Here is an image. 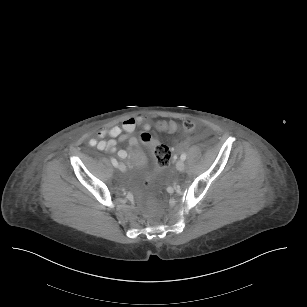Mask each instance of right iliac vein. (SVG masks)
<instances>
[{
	"instance_id": "obj_1",
	"label": "right iliac vein",
	"mask_w": 307,
	"mask_h": 307,
	"mask_svg": "<svg viewBox=\"0 0 307 307\" xmlns=\"http://www.w3.org/2000/svg\"><path fill=\"white\" fill-rule=\"evenodd\" d=\"M118 168L121 170V171H124L126 169L125 165L123 163H119L118 165Z\"/></svg>"
}]
</instances>
